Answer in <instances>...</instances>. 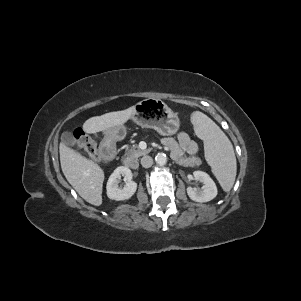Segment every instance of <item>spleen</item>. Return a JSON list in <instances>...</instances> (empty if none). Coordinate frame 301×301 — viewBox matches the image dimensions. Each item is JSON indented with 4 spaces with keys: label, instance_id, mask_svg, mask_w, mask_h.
I'll list each match as a JSON object with an SVG mask.
<instances>
[{
    "label": "spleen",
    "instance_id": "1",
    "mask_svg": "<svg viewBox=\"0 0 301 301\" xmlns=\"http://www.w3.org/2000/svg\"><path fill=\"white\" fill-rule=\"evenodd\" d=\"M195 131L205 142V157L224 191L231 190L236 177V157L232 143L224 132L205 114L191 115Z\"/></svg>",
    "mask_w": 301,
    "mask_h": 301
}]
</instances>
